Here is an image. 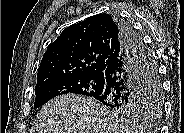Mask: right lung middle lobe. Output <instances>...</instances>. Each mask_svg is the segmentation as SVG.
Returning a JSON list of instances; mask_svg holds the SVG:
<instances>
[{
	"label": "right lung middle lobe",
	"instance_id": "dd1d6c3e",
	"mask_svg": "<svg viewBox=\"0 0 184 133\" xmlns=\"http://www.w3.org/2000/svg\"><path fill=\"white\" fill-rule=\"evenodd\" d=\"M151 85L145 98L138 102H129L108 106L112 110L125 115L150 114L159 116L162 108L161 83L157 69L150 55ZM104 87L103 75H87L76 77H64L53 80L35 89L36 99L34 108L40 107L52 98L67 94H82L90 97L98 96Z\"/></svg>",
	"mask_w": 184,
	"mask_h": 133
}]
</instances>
